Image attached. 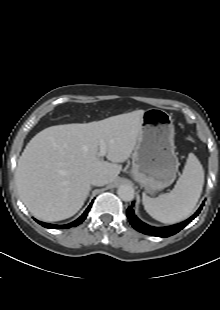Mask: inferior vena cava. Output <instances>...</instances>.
Masks as SVG:
<instances>
[{
  "mask_svg": "<svg viewBox=\"0 0 220 310\" xmlns=\"http://www.w3.org/2000/svg\"><path fill=\"white\" fill-rule=\"evenodd\" d=\"M108 183V178L105 175L97 174L91 178V184L94 186H104Z\"/></svg>",
  "mask_w": 220,
  "mask_h": 310,
  "instance_id": "602c4592",
  "label": "inferior vena cava"
}]
</instances>
